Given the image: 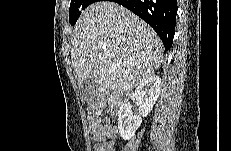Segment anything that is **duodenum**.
<instances>
[{
  "instance_id": "duodenum-1",
  "label": "duodenum",
  "mask_w": 231,
  "mask_h": 151,
  "mask_svg": "<svg viewBox=\"0 0 231 151\" xmlns=\"http://www.w3.org/2000/svg\"><path fill=\"white\" fill-rule=\"evenodd\" d=\"M101 90H103L101 88ZM111 110H118L122 104L121 98L118 95H110L105 98Z\"/></svg>"
}]
</instances>
